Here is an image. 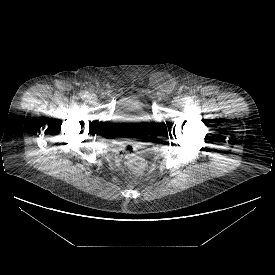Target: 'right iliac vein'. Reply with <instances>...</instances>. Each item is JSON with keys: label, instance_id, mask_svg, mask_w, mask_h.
<instances>
[{"label": "right iliac vein", "instance_id": "1", "mask_svg": "<svg viewBox=\"0 0 275 275\" xmlns=\"http://www.w3.org/2000/svg\"><path fill=\"white\" fill-rule=\"evenodd\" d=\"M89 100L90 101H95L96 100V96L95 95H89Z\"/></svg>", "mask_w": 275, "mask_h": 275}]
</instances>
